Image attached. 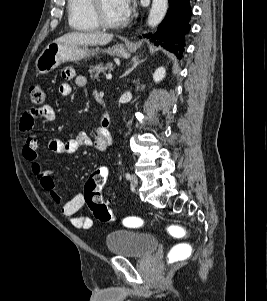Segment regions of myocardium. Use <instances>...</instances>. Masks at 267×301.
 Here are the masks:
<instances>
[{"mask_svg":"<svg viewBox=\"0 0 267 301\" xmlns=\"http://www.w3.org/2000/svg\"><path fill=\"white\" fill-rule=\"evenodd\" d=\"M92 12H93V16H94V19L97 22V24L101 28H105V29L121 28V27L125 26L129 20L128 16H125V18H123L122 20L117 21V22L108 21L103 15L102 0H92Z\"/></svg>","mask_w":267,"mask_h":301,"instance_id":"f54148a6","label":"myocardium"}]
</instances>
